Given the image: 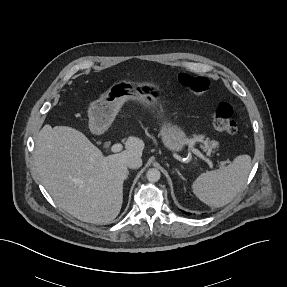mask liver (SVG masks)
<instances>
[{
    "instance_id": "liver-1",
    "label": "liver",
    "mask_w": 287,
    "mask_h": 287,
    "mask_svg": "<svg viewBox=\"0 0 287 287\" xmlns=\"http://www.w3.org/2000/svg\"><path fill=\"white\" fill-rule=\"evenodd\" d=\"M125 148L105 157L81 132L47 124L35 143V164L60 208L83 222L108 224L122 207L126 161L141 157L144 143L130 136Z\"/></svg>"
}]
</instances>
